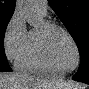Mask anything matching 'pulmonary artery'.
I'll use <instances>...</instances> for the list:
<instances>
[{"instance_id":"obj_1","label":"pulmonary artery","mask_w":89,"mask_h":89,"mask_svg":"<svg viewBox=\"0 0 89 89\" xmlns=\"http://www.w3.org/2000/svg\"><path fill=\"white\" fill-rule=\"evenodd\" d=\"M36 9L45 14L47 12V1L46 0H38L34 1Z\"/></svg>"}]
</instances>
